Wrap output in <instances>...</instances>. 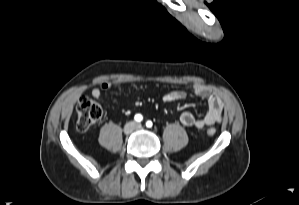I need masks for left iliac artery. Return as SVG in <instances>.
Segmentation results:
<instances>
[{"mask_svg":"<svg viewBox=\"0 0 299 205\" xmlns=\"http://www.w3.org/2000/svg\"><path fill=\"white\" fill-rule=\"evenodd\" d=\"M152 125H153V123H152L151 121H147V122H146V126H147L148 128L152 127Z\"/></svg>","mask_w":299,"mask_h":205,"instance_id":"left-iliac-artery-1","label":"left iliac artery"}]
</instances>
